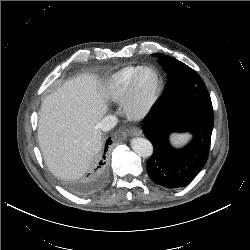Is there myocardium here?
Instances as JSON below:
<instances>
[{
    "label": "myocardium",
    "instance_id": "myocardium-1",
    "mask_svg": "<svg viewBox=\"0 0 250 250\" xmlns=\"http://www.w3.org/2000/svg\"><path fill=\"white\" fill-rule=\"evenodd\" d=\"M151 71L156 78V84L153 92L142 104L137 105V90L143 75ZM162 92V79L159 72L153 67H144L133 79L127 92L122 98V109L125 116L131 120L139 121L148 116L157 104Z\"/></svg>",
    "mask_w": 250,
    "mask_h": 250
}]
</instances>
